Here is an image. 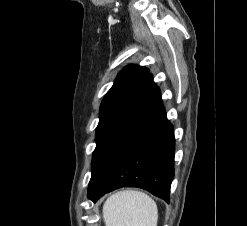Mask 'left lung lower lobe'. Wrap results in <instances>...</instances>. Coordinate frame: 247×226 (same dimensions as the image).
I'll list each match as a JSON object with an SVG mask.
<instances>
[{
	"instance_id": "1",
	"label": "left lung lower lobe",
	"mask_w": 247,
	"mask_h": 226,
	"mask_svg": "<svg viewBox=\"0 0 247 226\" xmlns=\"http://www.w3.org/2000/svg\"><path fill=\"white\" fill-rule=\"evenodd\" d=\"M174 151L173 126L148 73L96 138L89 199L139 187L169 202Z\"/></svg>"
}]
</instances>
